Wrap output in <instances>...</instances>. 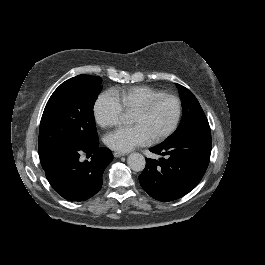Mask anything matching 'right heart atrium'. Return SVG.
<instances>
[{
  "label": "right heart atrium",
  "mask_w": 265,
  "mask_h": 265,
  "mask_svg": "<svg viewBox=\"0 0 265 265\" xmlns=\"http://www.w3.org/2000/svg\"><path fill=\"white\" fill-rule=\"evenodd\" d=\"M122 108L112 93H102L93 106V116L96 123L107 128L121 122Z\"/></svg>",
  "instance_id": "d8ad5b80"
}]
</instances>
